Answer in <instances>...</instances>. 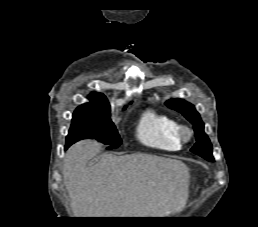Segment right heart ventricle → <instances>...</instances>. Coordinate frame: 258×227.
I'll return each instance as SVG.
<instances>
[{"label": "right heart ventricle", "mask_w": 258, "mask_h": 227, "mask_svg": "<svg viewBox=\"0 0 258 227\" xmlns=\"http://www.w3.org/2000/svg\"><path fill=\"white\" fill-rule=\"evenodd\" d=\"M177 127L178 123L169 115L146 109L138 120L136 136L147 147L176 151L181 146L176 134Z\"/></svg>", "instance_id": "right-heart-ventricle-1"}]
</instances>
